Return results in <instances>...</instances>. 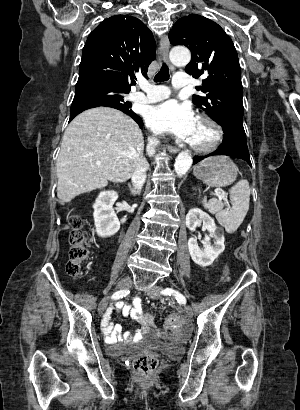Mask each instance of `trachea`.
Listing matches in <instances>:
<instances>
[{
	"label": "trachea",
	"mask_w": 300,
	"mask_h": 410,
	"mask_svg": "<svg viewBox=\"0 0 300 410\" xmlns=\"http://www.w3.org/2000/svg\"><path fill=\"white\" fill-rule=\"evenodd\" d=\"M168 80H169V68L163 62L162 66L160 68V71L157 73V75L154 78V81L155 82H162V81H168Z\"/></svg>",
	"instance_id": "1"
}]
</instances>
